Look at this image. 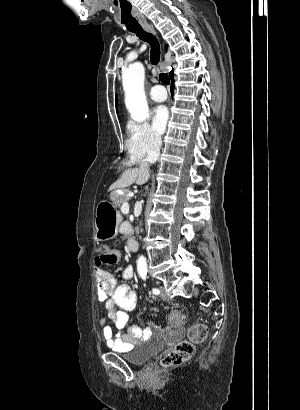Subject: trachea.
<instances>
[{"instance_id":"obj_1","label":"trachea","mask_w":300,"mask_h":410,"mask_svg":"<svg viewBox=\"0 0 300 410\" xmlns=\"http://www.w3.org/2000/svg\"><path fill=\"white\" fill-rule=\"evenodd\" d=\"M130 31L135 33L141 40L149 43L151 47L150 61L153 65H157L160 61V44L157 38L153 34L146 32L142 28L131 29ZM159 79L165 85L170 84L169 76L166 73L159 74Z\"/></svg>"}]
</instances>
